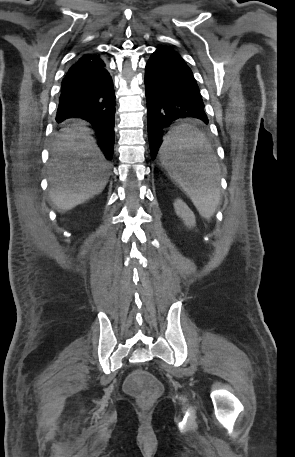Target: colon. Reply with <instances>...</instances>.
Wrapping results in <instances>:
<instances>
[{"label":"colon","mask_w":295,"mask_h":457,"mask_svg":"<svg viewBox=\"0 0 295 457\" xmlns=\"http://www.w3.org/2000/svg\"><path fill=\"white\" fill-rule=\"evenodd\" d=\"M125 387L142 402L151 401L160 391L157 375L146 374L144 369H137L135 374H129V381H126Z\"/></svg>","instance_id":"1"}]
</instances>
